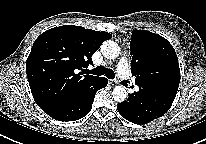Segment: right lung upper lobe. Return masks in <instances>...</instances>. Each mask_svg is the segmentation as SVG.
I'll return each instance as SVG.
<instances>
[{"label":"right lung upper lobe","instance_id":"cb5924a9","mask_svg":"<svg viewBox=\"0 0 206 144\" xmlns=\"http://www.w3.org/2000/svg\"><path fill=\"white\" fill-rule=\"evenodd\" d=\"M108 32L64 25L49 29L34 42L26 72L34 100L45 112L78 95L98 77L84 75L92 55Z\"/></svg>","mask_w":206,"mask_h":144}]
</instances>
